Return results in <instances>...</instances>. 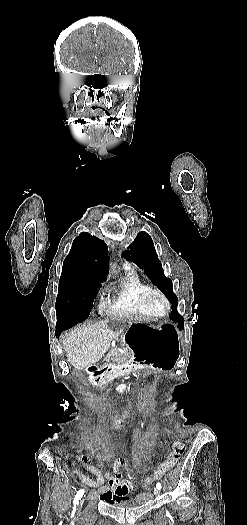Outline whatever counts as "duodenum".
Returning <instances> with one entry per match:
<instances>
[{"label":"duodenum","mask_w":247,"mask_h":525,"mask_svg":"<svg viewBox=\"0 0 247 525\" xmlns=\"http://www.w3.org/2000/svg\"><path fill=\"white\" fill-rule=\"evenodd\" d=\"M136 369V364L132 360L121 361L113 364H108L103 367H97L91 365L86 369L87 377L93 382L97 383L104 377H115L119 375L128 374ZM120 393H126L128 388L126 386H120L118 388Z\"/></svg>","instance_id":"410a0bca"}]
</instances>
